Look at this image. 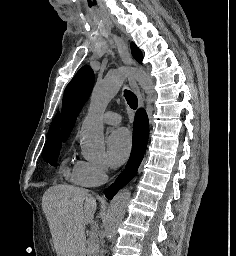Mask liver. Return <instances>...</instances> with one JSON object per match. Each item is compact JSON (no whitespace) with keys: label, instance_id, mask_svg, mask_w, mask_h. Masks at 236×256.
<instances>
[{"label":"liver","instance_id":"obj_1","mask_svg":"<svg viewBox=\"0 0 236 256\" xmlns=\"http://www.w3.org/2000/svg\"><path fill=\"white\" fill-rule=\"evenodd\" d=\"M57 256H85V226L94 218L97 202L88 190L52 186L42 198Z\"/></svg>","mask_w":236,"mask_h":256}]
</instances>
